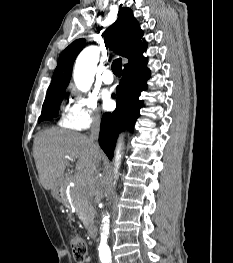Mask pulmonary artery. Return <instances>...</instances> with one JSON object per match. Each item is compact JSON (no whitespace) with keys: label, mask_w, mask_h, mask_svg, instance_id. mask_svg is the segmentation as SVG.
I'll return each instance as SVG.
<instances>
[{"label":"pulmonary artery","mask_w":233,"mask_h":263,"mask_svg":"<svg viewBox=\"0 0 233 263\" xmlns=\"http://www.w3.org/2000/svg\"><path fill=\"white\" fill-rule=\"evenodd\" d=\"M101 78L105 84H111L114 81V76H113L112 71L107 68L103 70Z\"/></svg>","instance_id":"1"}]
</instances>
